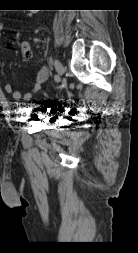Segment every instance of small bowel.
<instances>
[{
	"label": "small bowel",
	"mask_w": 138,
	"mask_h": 253,
	"mask_svg": "<svg viewBox=\"0 0 138 253\" xmlns=\"http://www.w3.org/2000/svg\"><path fill=\"white\" fill-rule=\"evenodd\" d=\"M22 57L28 59L31 57V50L27 43H24L21 47ZM1 64V59H0ZM49 71L46 67H41L32 82L31 89L26 93H22L14 89L11 82H7L4 85V90L6 93L10 94L15 101H29L32 97L41 89L42 84L48 79Z\"/></svg>",
	"instance_id": "obj_1"
}]
</instances>
